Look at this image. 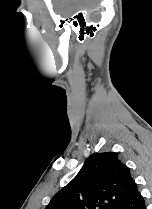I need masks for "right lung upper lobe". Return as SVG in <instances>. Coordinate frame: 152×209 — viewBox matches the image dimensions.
Instances as JSON below:
<instances>
[{
	"label": "right lung upper lobe",
	"instance_id": "obj_1",
	"mask_svg": "<svg viewBox=\"0 0 152 209\" xmlns=\"http://www.w3.org/2000/svg\"><path fill=\"white\" fill-rule=\"evenodd\" d=\"M135 190L130 169L117 153H94L45 209H117Z\"/></svg>",
	"mask_w": 152,
	"mask_h": 209
}]
</instances>
